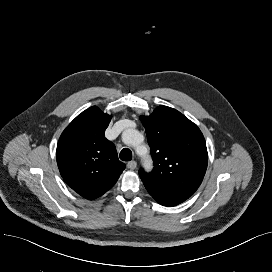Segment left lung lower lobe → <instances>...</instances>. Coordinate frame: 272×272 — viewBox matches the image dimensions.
<instances>
[{"label":"left lung lower lobe","mask_w":272,"mask_h":272,"mask_svg":"<svg viewBox=\"0 0 272 272\" xmlns=\"http://www.w3.org/2000/svg\"><path fill=\"white\" fill-rule=\"evenodd\" d=\"M144 186L146 187L149 194L161 205L172 207L175 205H178L179 203H182L186 199H188L190 196L174 191L169 189H164L156 186H152L149 184L144 183Z\"/></svg>","instance_id":"1"}]
</instances>
